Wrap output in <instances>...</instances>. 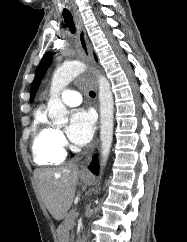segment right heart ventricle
Returning <instances> with one entry per match:
<instances>
[{"label":"right heart ventricle","mask_w":187,"mask_h":242,"mask_svg":"<svg viewBox=\"0 0 187 242\" xmlns=\"http://www.w3.org/2000/svg\"><path fill=\"white\" fill-rule=\"evenodd\" d=\"M57 130L50 123L43 107L36 110L33 120L32 154L38 165H57L65 152L57 142Z\"/></svg>","instance_id":"right-heart-ventricle-1"}]
</instances>
